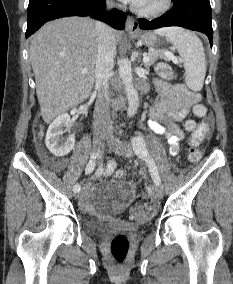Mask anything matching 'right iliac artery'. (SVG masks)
I'll return each instance as SVG.
<instances>
[{"instance_id":"82829eb1","label":"right iliac artery","mask_w":233,"mask_h":284,"mask_svg":"<svg viewBox=\"0 0 233 284\" xmlns=\"http://www.w3.org/2000/svg\"><path fill=\"white\" fill-rule=\"evenodd\" d=\"M95 158H96V156L93 153L91 155V158H90L87 166H86V169H85V173L86 174H90V172H93V170L95 169ZM100 168H102V167H100ZM73 191H74V193L79 192L80 191V185L79 184H75L74 187H73Z\"/></svg>"}]
</instances>
